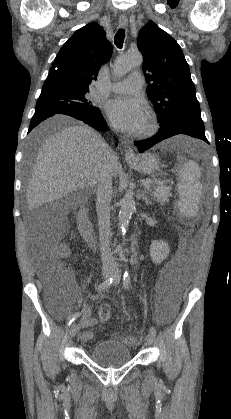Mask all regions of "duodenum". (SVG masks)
<instances>
[{
	"label": "duodenum",
	"mask_w": 231,
	"mask_h": 419,
	"mask_svg": "<svg viewBox=\"0 0 231 419\" xmlns=\"http://www.w3.org/2000/svg\"><path fill=\"white\" fill-rule=\"evenodd\" d=\"M78 224L85 235L89 238H93L94 226L88 216V211L85 206L81 207L78 211Z\"/></svg>",
	"instance_id": "410a0bca"
}]
</instances>
